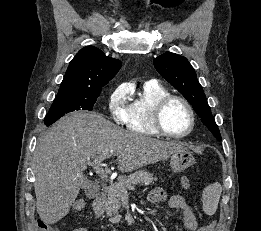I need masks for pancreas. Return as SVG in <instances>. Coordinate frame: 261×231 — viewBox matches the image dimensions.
<instances>
[{
    "mask_svg": "<svg viewBox=\"0 0 261 231\" xmlns=\"http://www.w3.org/2000/svg\"><path fill=\"white\" fill-rule=\"evenodd\" d=\"M157 181L156 177L146 171L138 170L128 177L120 176L118 182L111 186L107 191V198L105 201V211L112 223H119L122 216L119 214L121 207V198L127 194V190L135 187L137 184L149 185Z\"/></svg>",
    "mask_w": 261,
    "mask_h": 231,
    "instance_id": "1",
    "label": "pancreas"
}]
</instances>
